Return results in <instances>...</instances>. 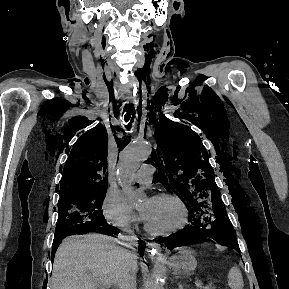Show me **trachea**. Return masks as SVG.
Here are the masks:
<instances>
[{
	"label": "trachea",
	"mask_w": 289,
	"mask_h": 289,
	"mask_svg": "<svg viewBox=\"0 0 289 289\" xmlns=\"http://www.w3.org/2000/svg\"><path fill=\"white\" fill-rule=\"evenodd\" d=\"M126 111H127V113L125 114L124 119L126 122H128L130 120V123L128 125V128H130L132 120L134 119L135 110H134V108H128Z\"/></svg>",
	"instance_id": "trachea-1"
}]
</instances>
